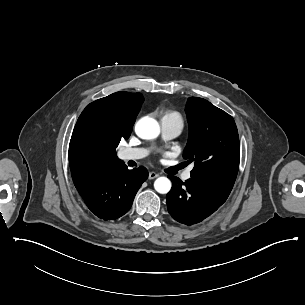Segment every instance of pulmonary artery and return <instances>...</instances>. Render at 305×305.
Listing matches in <instances>:
<instances>
[{
    "label": "pulmonary artery",
    "instance_id": "obj_1",
    "mask_svg": "<svg viewBox=\"0 0 305 305\" xmlns=\"http://www.w3.org/2000/svg\"><path fill=\"white\" fill-rule=\"evenodd\" d=\"M162 135L166 139H172L177 137L183 130L184 124L181 119L172 117H162L160 120ZM149 154V150L146 148H127L121 153V158L124 161L140 160L145 158ZM191 170L182 174L183 180H189L191 178Z\"/></svg>",
    "mask_w": 305,
    "mask_h": 305
}]
</instances>
